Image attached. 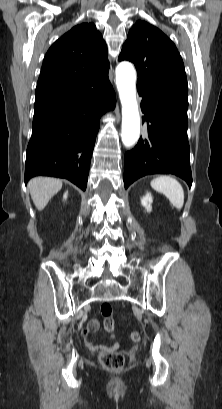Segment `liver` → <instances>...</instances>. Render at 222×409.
Wrapping results in <instances>:
<instances>
[{
	"label": "liver",
	"instance_id": "1",
	"mask_svg": "<svg viewBox=\"0 0 222 409\" xmlns=\"http://www.w3.org/2000/svg\"><path fill=\"white\" fill-rule=\"evenodd\" d=\"M31 198L38 210H43L49 200L62 188V181L50 177H36L29 181Z\"/></svg>",
	"mask_w": 222,
	"mask_h": 409
}]
</instances>
